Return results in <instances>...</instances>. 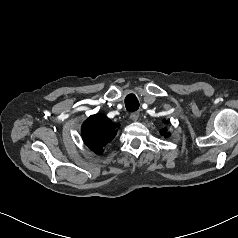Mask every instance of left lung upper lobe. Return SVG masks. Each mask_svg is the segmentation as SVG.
<instances>
[{"instance_id":"1","label":"left lung upper lobe","mask_w":238,"mask_h":238,"mask_svg":"<svg viewBox=\"0 0 238 238\" xmlns=\"http://www.w3.org/2000/svg\"><path fill=\"white\" fill-rule=\"evenodd\" d=\"M165 133H166V129H163V130L160 131L161 135H165L166 136L167 134H165Z\"/></svg>"}]
</instances>
